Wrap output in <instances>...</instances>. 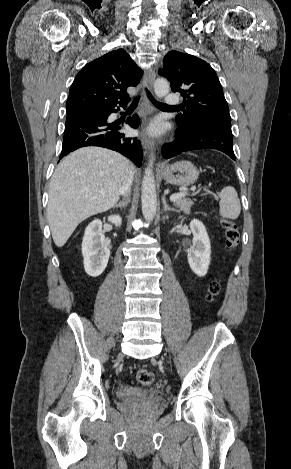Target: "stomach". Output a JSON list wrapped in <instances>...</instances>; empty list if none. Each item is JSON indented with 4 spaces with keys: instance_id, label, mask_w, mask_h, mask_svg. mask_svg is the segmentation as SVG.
<instances>
[{
    "instance_id": "stomach-1",
    "label": "stomach",
    "mask_w": 291,
    "mask_h": 469,
    "mask_svg": "<svg viewBox=\"0 0 291 469\" xmlns=\"http://www.w3.org/2000/svg\"><path fill=\"white\" fill-rule=\"evenodd\" d=\"M161 176L166 182L177 186H189L196 182L199 171L189 161H179L167 165L160 170Z\"/></svg>"
}]
</instances>
